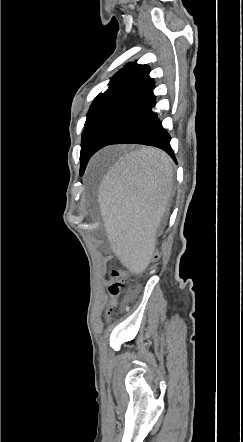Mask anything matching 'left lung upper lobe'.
I'll list each match as a JSON object with an SVG mask.
<instances>
[{
	"mask_svg": "<svg viewBox=\"0 0 243 442\" xmlns=\"http://www.w3.org/2000/svg\"><path fill=\"white\" fill-rule=\"evenodd\" d=\"M149 70L148 65H140L134 62L128 63L111 78L108 83V89L104 93H99L92 102L87 114L85 129L82 133L81 175L87 166V162L83 159V154L96 128L117 102L149 77Z\"/></svg>",
	"mask_w": 243,
	"mask_h": 442,
	"instance_id": "obj_1",
	"label": "left lung upper lobe"
}]
</instances>
